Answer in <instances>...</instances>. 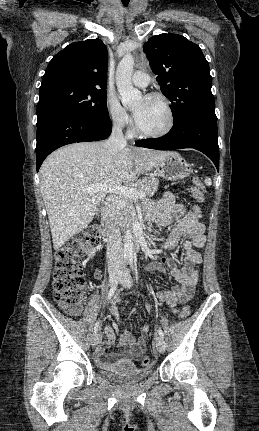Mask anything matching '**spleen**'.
Listing matches in <instances>:
<instances>
[{"instance_id":"spleen-1","label":"spleen","mask_w":259,"mask_h":431,"mask_svg":"<svg viewBox=\"0 0 259 431\" xmlns=\"http://www.w3.org/2000/svg\"><path fill=\"white\" fill-rule=\"evenodd\" d=\"M205 184L210 186L212 184V180L210 178L205 179Z\"/></svg>"}]
</instances>
